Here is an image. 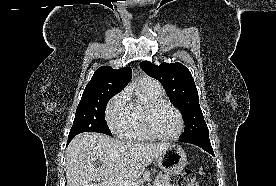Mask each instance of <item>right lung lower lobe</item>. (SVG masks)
I'll list each match as a JSON object with an SVG mask.
<instances>
[{
  "mask_svg": "<svg viewBox=\"0 0 276 186\" xmlns=\"http://www.w3.org/2000/svg\"><path fill=\"white\" fill-rule=\"evenodd\" d=\"M74 137H75V136H69V137H68L67 144H68Z\"/></svg>",
  "mask_w": 276,
  "mask_h": 186,
  "instance_id": "1",
  "label": "right lung lower lobe"
}]
</instances>
